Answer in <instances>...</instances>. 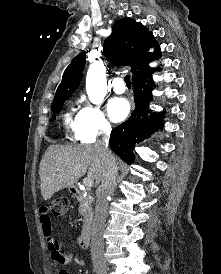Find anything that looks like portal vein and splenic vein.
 <instances>
[{"instance_id": "portal-vein-and-splenic-vein-1", "label": "portal vein and splenic vein", "mask_w": 221, "mask_h": 274, "mask_svg": "<svg viewBox=\"0 0 221 274\" xmlns=\"http://www.w3.org/2000/svg\"><path fill=\"white\" fill-rule=\"evenodd\" d=\"M83 184L86 188H91L94 184V181L93 179L87 177L83 180Z\"/></svg>"}]
</instances>
